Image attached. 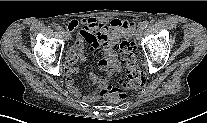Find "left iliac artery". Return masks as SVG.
<instances>
[{
    "label": "left iliac artery",
    "mask_w": 207,
    "mask_h": 123,
    "mask_svg": "<svg viewBox=\"0 0 207 123\" xmlns=\"http://www.w3.org/2000/svg\"><path fill=\"white\" fill-rule=\"evenodd\" d=\"M148 26V21L147 20H145V21H143L142 23H141V27L144 29V28H146Z\"/></svg>",
    "instance_id": "left-iliac-artery-1"
}]
</instances>
